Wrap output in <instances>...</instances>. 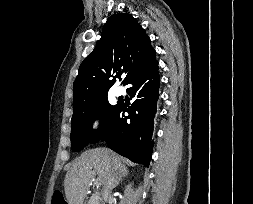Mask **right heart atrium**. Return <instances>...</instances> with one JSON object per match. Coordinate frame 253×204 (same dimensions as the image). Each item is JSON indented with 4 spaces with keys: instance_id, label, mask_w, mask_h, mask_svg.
<instances>
[{
    "instance_id": "1",
    "label": "right heart atrium",
    "mask_w": 253,
    "mask_h": 204,
    "mask_svg": "<svg viewBox=\"0 0 253 204\" xmlns=\"http://www.w3.org/2000/svg\"><path fill=\"white\" fill-rule=\"evenodd\" d=\"M101 127V118L98 115L93 116L88 123L90 133H96Z\"/></svg>"
}]
</instances>
